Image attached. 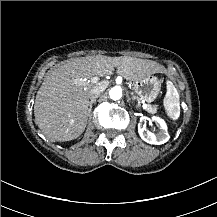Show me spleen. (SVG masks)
Wrapping results in <instances>:
<instances>
[{
	"label": "spleen",
	"instance_id": "obj_1",
	"mask_svg": "<svg viewBox=\"0 0 217 217\" xmlns=\"http://www.w3.org/2000/svg\"><path fill=\"white\" fill-rule=\"evenodd\" d=\"M166 93L165 112L169 119L176 120L179 117V97L176 86H167Z\"/></svg>",
	"mask_w": 217,
	"mask_h": 217
}]
</instances>
